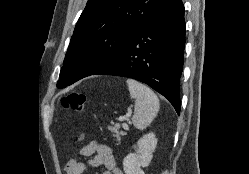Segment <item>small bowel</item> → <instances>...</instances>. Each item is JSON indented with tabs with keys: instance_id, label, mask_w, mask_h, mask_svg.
Here are the masks:
<instances>
[{
	"instance_id": "small-bowel-1",
	"label": "small bowel",
	"mask_w": 249,
	"mask_h": 174,
	"mask_svg": "<svg viewBox=\"0 0 249 174\" xmlns=\"http://www.w3.org/2000/svg\"><path fill=\"white\" fill-rule=\"evenodd\" d=\"M83 137L81 135V138ZM78 155L88 157L87 162L75 158L70 159L65 167L66 174H83L87 167L98 168L101 166L104 167L103 174H123L116 165L112 149L105 144L90 141L79 150Z\"/></svg>"
}]
</instances>
